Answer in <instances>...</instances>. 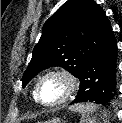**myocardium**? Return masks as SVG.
Returning <instances> with one entry per match:
<instances>
[{
    "mask_svg": "<svg viewBox=\"0 0 122 123\" xmlns=\"http://www.w3.org/2000/svg\"><path fill=\"white\" fill-rule=\"evenodd\" d=\"M50 76H58L63 78L66 82L67 88L65 94L60 99L51 103H47L41 99L40 89L43 81ZM78 87H79V79L72 71L64 68L53 69L46 72L38 80L35 88L36 101L46 107H56L67 102L76 93Z\"/></svg>",
    "mask_w": 122,
    "mask_h": 123,
    "instance_id": "myocardium-1",
    "label": "myocardium"
}]
</instances>
